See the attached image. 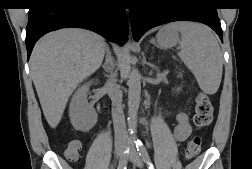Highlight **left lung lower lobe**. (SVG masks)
Here are the masks:
<instances>
[{"label":"left lung lower lobe","mask_w":252,"mask_h":169,"mask_svg":"<svg viewBox=\"0 0 252 169\" xmlns=\"http://www.w3.org/2000/svg\"><path fill=\"white\" fill-rule=\"evenodd\" d=\"M174 21H195L211 27L223 41L217 8L212 0H162L150 8L130 9L133 38L138 41L153 27Z\"/></svg>","instance_id":"1"}]
</instances>
